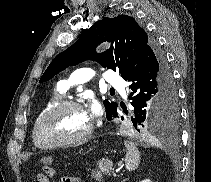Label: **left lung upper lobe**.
<instances>
[{"label": "left lung upper lobe", "instance_id": "obj_1", "mask_svg": "<svg viewBox=\"0 0 211 182\" xmlns=\"http://www.w3.org/2000/svg\"><path fill=\"white\" fill-rule=\"evenodd\" d=\"M115 42V48L102 54L94 53V48L102 42ZM151 39L134 18L127 15H119L115 18L105 17L94 23L84 34L68 49L60 53L50 63L40 82L51 79L55 74L74 66L86 59H93L103 67L119 71L122 78L126 79L135 69L144 50L150 45ZM108 120L117 116V104L104 101ZM176 123L168 124L171 128Z\"/></svg>", "mask_w": 211, "mask_h": 182}]
</instances>
